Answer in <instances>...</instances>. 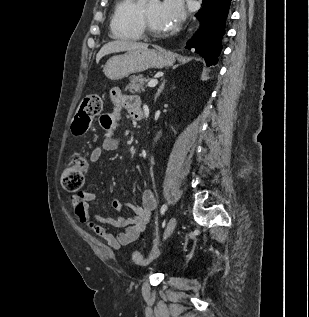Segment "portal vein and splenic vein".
Segmentation results:
<instances>
[{"mask_svg": "<svg viewBox=\"0 0 309 317\" xmlns=\"http://www.w3.org/2000/svg\"><path fill=\"white\" fill-rule=\"evenodd\" d=\"M158 84V80L157 79H152L148 82L147 86L148 87H155Z\"/></svg>", "mask_w": 309, "mask_h": 317, "instance_id": "1", "label": "portal vein and splenic vein"}]
</instances>
